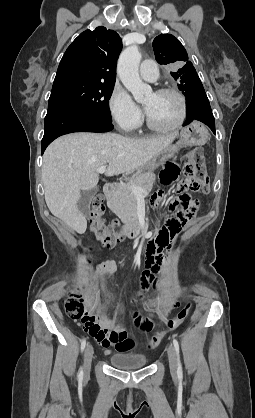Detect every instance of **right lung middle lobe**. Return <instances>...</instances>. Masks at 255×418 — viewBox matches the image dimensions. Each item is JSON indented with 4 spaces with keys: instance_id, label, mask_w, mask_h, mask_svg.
<instances>
[{
    "instance_id": "dd1d6c3e",
    "label": "right lung middle lobe",
    "mask_w": 255,
    "mask_h": 418,
    "mask_svg": "<svg viewBox=\"0 0 255 418\" xmlns=\"http://www.w3.org/2000/svg\"><path fill=\"white\" fill-rule=\"evenodd\" d=\"M114 83L68 81L52 87L48 109L71 108L112 123L109 99Z\"/></svg>"
}]
</instances>
